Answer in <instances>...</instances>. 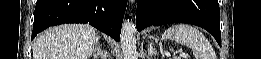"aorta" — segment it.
<instances>
[{"label": "aorta", "mask_w": 261, "mask_h": 59, "mask_svg": "<svg viewBox=\"0 0 261 59\" xmlns=\"http://www.w3.org/2000/svg\"><path fill=\"white\" fill-rule=\"evenodd\" d=\"M135 31V24L129 19L125 20L121 30V48L124 59H137L138 57Z\"/></svg>", "instance_id": "obj_1"}]
</instances>
